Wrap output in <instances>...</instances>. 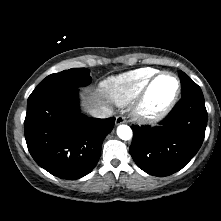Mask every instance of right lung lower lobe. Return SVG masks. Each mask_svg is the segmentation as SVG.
I'll list each match as a JSON object with an SVG mask.
<instances>
[{"label":"right lung lower lobe","instance_id":"98d812e1","mask_svg":"<svg viewBox=\"0 0 221 221\" xmlns=\"http://www.w3.org/2000/svg\"><path fill=\"white\" fill-rule=\"evenodd\" d=\"M115 118L80 113L78 87L58 89L28 100L25 139L35 162L54 176L78 179L96 166Z\"/></svg>","mask_w":221,"mask_h":221}]
</instances>
